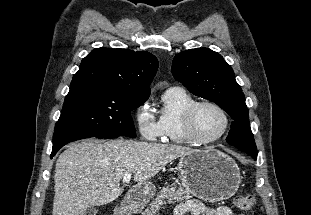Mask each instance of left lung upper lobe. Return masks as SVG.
I'll list each match as a JSON object with an SVG mask.
<instances>
[{
    "label": "left lung upper lobe",
    "instance_id": "1",
    "mask_svg": "<svg viewBox=\"0 0 311 215\" xmlns=\"http://www.w3.org/2000/svg\"><path fill=\"white\" fill-rule=\"evenodd\" d=\"M172 74L194 95L216 103L234 120L226 141L257 156V148L249 124L248 108L231 66L208 48L190 49L177 54Z\"/></svg>",
    "mask_w": 311,
    "mask_h": 215
}]
</instances>
